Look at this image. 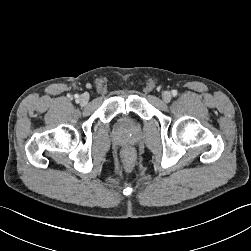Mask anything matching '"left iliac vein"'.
<instances>
[{"instance_id": "left-iliac-vein-1", "label": "left iliac vein", "mask_w": 251, "mask_h": 251, "mask_svg": "<svg viewBox=\"0 0 251 251\" xmlns=\"http://www.w3.org/2000/svg\"><path fill=\"white\" fill-rule=\"evenodd\" d=\"M162 98H163V101L167 103L171 100L172 95L169 91H164L162 94Z\"/></svg>"}]
</instances>
